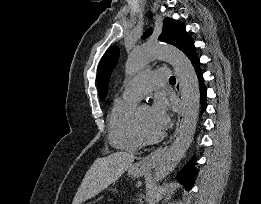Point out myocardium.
I'll use <instances>...</instances> for the list:
<instances>
[{
  "instance_id": "1",
  "label": "myocardium",
  "mask_w": 261,
  "mask_h": 204,
  "mask_svg": "<svg viewBox=\"0 0 261 204\" xmlns=\"http://www.w3.org/2000/svg\"><path fill=\"white\" fill-rule=\"evenodd\" d=\"M135 125L139 135L145 143H155L161 140L163 137V133L161 132L152 133L145 129V127L141 124L138 116H135Z\"/></svg>"
}]
</instances>
